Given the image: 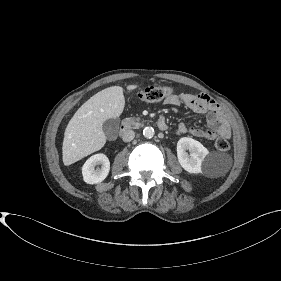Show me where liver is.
I'll list each match as a JSON object with an SVG mask.
<instances>
[{
    "instance_id": "obj_1",
    "label": "liver",
    "mask_w": 281,
    "mask_h": 281,
    "mask_svg": "<svg viewBox=\"0 0 281 281\" xmlns=\"http://www.w3.org/2000/svg\"><path fill=\"white\" fill-rule=\"evenodd\" d=\"M138 85H128L134 90ZM125 107L121 86L108 87L88 99L69 121L62 146V158L69 166L100 150L106 143L103 123L118 118Z\"/></svg>"
}]
</instances>
